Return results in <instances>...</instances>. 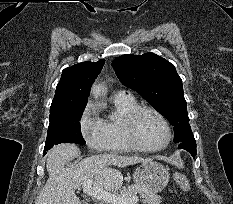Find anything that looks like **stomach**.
Instances as JSON below:
<instances>
[{
    "label": "stomach",
    "mask_w": 233,
    "mask_h": 204,
    "mask_svg": "<svg viewBox=\"0 0 233 204\" xmlns=\"http://www.w3.org/2000/svg\"><path fill=\"white\" fill-rule=\"evenodd\" d=\"M169 178L168 170L161 163L152 160L142 163L133 174L136 185L154 193L162 191Z\"/></svg>",
    "instance_id": "obj_1"
}]
</instances>
